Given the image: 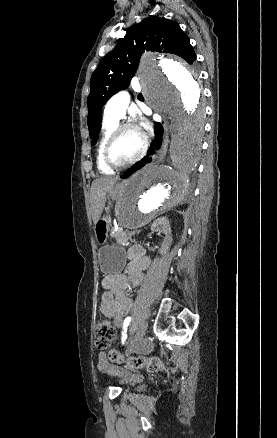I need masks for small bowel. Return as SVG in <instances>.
<instances>
[{
    "label": "small bowel",
    "instance_id": "obj_1",
    "mask_svg": "<svg viewBox=\"0 0 277 438\" xmlns=\"http://www.w3.org/2000/svg\"><path fill=\"white\" fill-rule=\"evenodd\" d=\"M128 264L123 274H107L101 281L104 293L101 296L99 310L108 319L112 320L117 328H121L125 316L130 312L133 302L127 290L134 289L144 280V271L149 267L151 260L145 255L140 246H132L128 250ZM116 351V350H111ZM110 351V352H111ZM100 353L97 368L99 371L128 382L133 379L126 368H116L108 360L110 355Z\"/></svg>",
    "mask_w": 277,
    "mask_h": 438
}]
</instances>
